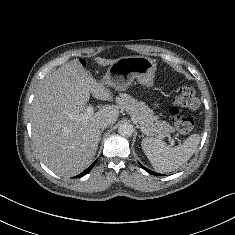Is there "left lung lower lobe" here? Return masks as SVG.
<instances>
[{"mask_svg":"<svg viewBox=\"0 0 235 235\" xmlns=\"http://www.w3.org/2000/svg\"><path fill=\"white\" fill-rule=\"evenodd\" d=\"M140 165H141V164H140ZM141 167H142L145 171H147L148 173H150V174H152V175L162 176L161 174H158V173H156V172H153V171H151V170L145 168V167L142 166V165H141Z\"/></svg>","mask_w":235,"mask_h":235,"instance_id":"1","label":"left lung lower lobe"}]
</instances>
